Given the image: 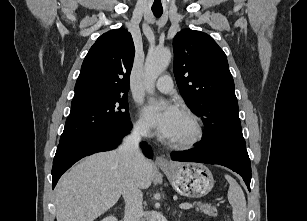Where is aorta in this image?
Here are the masks:
<instances>
[{
    "instance_id": "obj_1",
    "label": "aorta",
    "mask_w": 307,
    "mask_h": 221,
    "mask_svg": "<svg viewBox=\"0 0 307 221\" xmlns=\"http://www.w3.org/2000/svg\"><path fill=\"white\" fill-rule=\"evenodd\" d=\"M171 61V52L167 48L149 51L145 61L144 85L148 93L154 92L156 79L166 70ZM149 221H155L150 218Z\"/></svg>"
}]
</instances>
